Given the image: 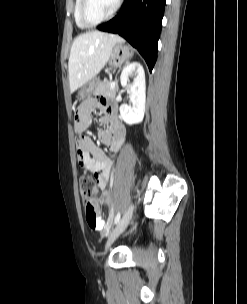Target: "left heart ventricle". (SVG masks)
<instances>
[{
	"label": "left heart ventricle",
	"instance_id": "left-heart-ventricle-1",
	"mask_svg": "<svg viewBox=\"0 0 247 304\" xmlns=\"http://www.w3.org/2000/svg\"><path fill=\"white\" fill-rule=\"evenodd\" d=\"M118 0H89L86 15L89 21L97 22L107 17L115 8Z\"/></svg>",
	"mask_w": 247,
	"mask_h": 304
}]
</instances>
